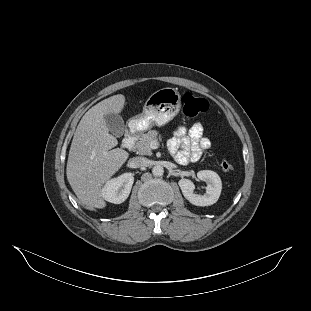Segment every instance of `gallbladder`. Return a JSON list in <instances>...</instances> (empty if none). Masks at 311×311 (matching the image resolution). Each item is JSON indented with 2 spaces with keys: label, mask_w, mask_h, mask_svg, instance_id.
<instances>
[{
  "label": "gallbladder",
  "mask_w": 311,
  "mask_h": 311,
  "mask_svg": "<svg viewBox=\"0 0 311 311\" xmlns=\"http://www.w3.org/2000/svg\"><path fill=\"white\" fill-rule=\"evenodd\" d=\"M108 130L117 137L124 133V119L119 113L109 112L103 115Z\"/></svg>",
  "instance_id": "gallbladder-1"
}]
</instances>
